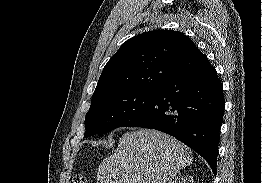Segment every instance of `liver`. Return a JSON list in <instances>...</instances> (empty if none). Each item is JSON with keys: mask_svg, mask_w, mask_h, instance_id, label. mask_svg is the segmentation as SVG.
I'll return each mask as SVG.
<instances>
[{"mask_svg": "<svg viewBox=\"0 0 262 183\" xmlns=\"http://www.w3.org/2000/svg\"><path fill=\"white\" fill-rule=\"evenodd\" d=\"M193 162L179 140L153 129H138L119 138L116 151L98 167L97 183H171Z\"/></svg>", "mask_w": 262, "mask_h": 183, "instance_id": "liver-1", "label": "liver"}]
</instances>
